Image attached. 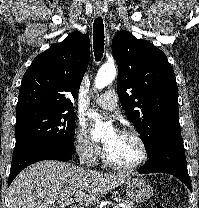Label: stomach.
<instances>
[{
	"mask_svg": "<svg viewBox=\"0 0 199 208\" xmlns=\"http://www.w3.org/2000/svg\"><path fill=\"white\" fill-rule=\"evenodd\" d=\"M126 194L135 202H145L152 196L153 190L144 179L132 178L126 181Z\"/></svg>",
	"mask_w": 199,
	"mask_h": 208,
	"instance_id": "0dacf381",
	"label": "stomach"
}]
</instances>
